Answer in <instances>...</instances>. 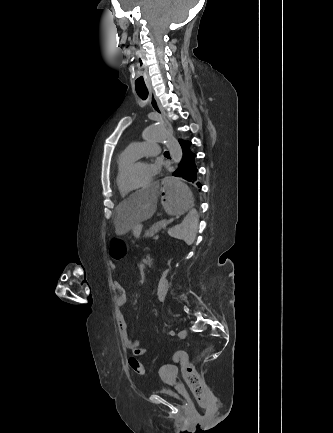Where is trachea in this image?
I'll use <instances>...</instances> for the list:
<instances>
[{
	"mask_svg": "<svg viewBox=\"0 0 333 433\" xmlns=\"http://www.w3.org/2000/svg\"><path fill=\"white\" fill-rule=\"evenodd\" d=\"M142 79V78H141ZM136 92L142 100H146L148 97V90L146 87H137ZM164 154L169 155L168 151H165Z\"/></svg>",
	"mask_w": 333,
	"mask_h": 433,
	"instance_id": "trachea-1",
	"label": "trachea"
}]
</instances>
